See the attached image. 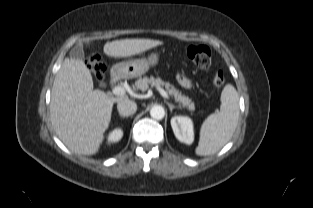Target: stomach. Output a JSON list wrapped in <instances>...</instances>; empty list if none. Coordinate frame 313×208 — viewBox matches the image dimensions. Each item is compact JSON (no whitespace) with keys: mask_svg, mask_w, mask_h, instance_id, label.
<instances>
[{"mask_svg":"<svg viewBox=\"0 0 313 208\" xmlns=\"http://www.w3.org/2000/svg\"><path fill=\"white\" fill-rule=\"evenodd\" d=\"M159 62V55L152 53L148 58L135 59L131 61L117 63L113 66L112 72L121 78H136L144 75L151 67Z\"/></svg>","mask_w":313,"mask_h":208,"instance_id":"1","label":"stomach"}]
</instances>
